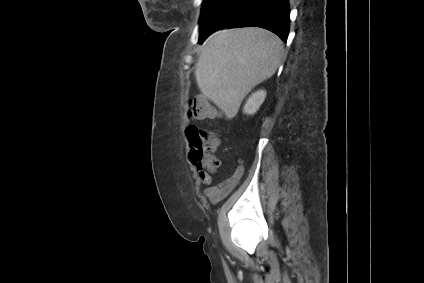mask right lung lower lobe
Segmentation results:
<instances>
[{"label":"right lung lower lobe","instance_id":"98d812e1","mask_svg":"<svg viewBox=\"0 0 424 283\" xmlns=\"http://www.w3.org/2000/svg\"><path fill=\"white\" fill-rule=\"evenodd\" d=\"M289 16L288 0H228L199 31V43L216 30L248 26L267 29L286 42Z\"/></svg>","mask_w":424,"mask_h":283}]
</instances>
